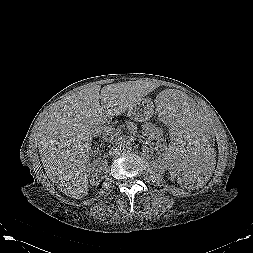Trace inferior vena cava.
I'll return each instance as SVG.
<instances>
[{
	"mask_svg": "<svg viewBox=\"0 0 253 253\" xmlns=\"http://www.w3.org/2000/svg\"><path fill=\"white\" fill-rule=\"evenodd\" d=\"M93 129H94L95 131H99L101 128L95 126ZM94 130H93V131H94ZM119 153H120V150H119V148H118V143H116L113 147L110 148L109 154H110L111 156H116V155H118Z\"/></svg>",
	"mask_w": 253,
	"mask_h": 253,
	"instance_id": "obj_1",
	"label": "inferior vena cava"
}]
</instances>
